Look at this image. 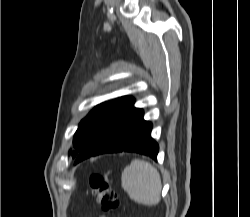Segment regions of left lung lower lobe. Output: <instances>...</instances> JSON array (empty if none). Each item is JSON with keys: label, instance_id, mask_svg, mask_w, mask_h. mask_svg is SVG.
I'll use <instances>...</instances> for the list:
<instances>
[{"label": "left lung lower lobe", "instance_id": "obj_1", "mask_svg": "<svg viewBox=\"0 0 250 217\" xmlns=\"http://www.w3.org/2000/svg\"><path fill=\"white\" fill-rule=\"evenodd\" d=\"M129 97L76 157L75 164L104 153L136 152L157 159L158 144L151 138L152 124Z\"/></svg>", "mask_w": 250, "mask_h": 217}]
</instances>
